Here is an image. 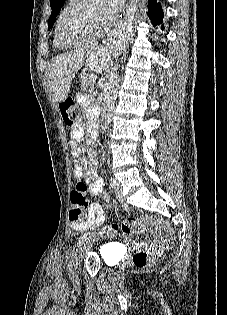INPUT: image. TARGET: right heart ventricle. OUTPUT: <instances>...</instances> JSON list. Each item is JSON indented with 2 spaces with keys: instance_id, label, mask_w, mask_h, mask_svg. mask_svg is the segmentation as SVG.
Returning <instances> with one entry per match:
<instances>
[{
  "instance_id": "1",
  "label": "right heart ventricle",
  "mask_w": 227,
  "mask_h": 315,
  "mask_svg": "<svg viewBox=\"0 0 227 315\" xmlns=\"http://www.w3.org/2000/svg\"><path fill=\"white\" fill-rule=\"evenodd\" d=\"M76 2V0H68L67 3L64 5V7L62 8V10L59 13L58 19H57V23L59 22V20L62 18V16L65 14V12ZM54 45L56 48L62 50L65 49L66 47L60 45V43L57 40L56 34L54 35Z\"/></svg>"
}]
</instances>
